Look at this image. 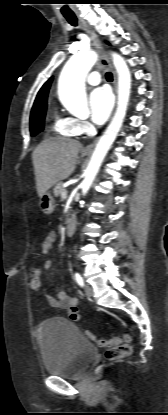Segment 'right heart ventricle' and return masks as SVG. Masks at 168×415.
I'll return each instance as SVG.
<instances>
[{"label":"right heart ventricle","instance_id":"right-heart-ventricle-1","mask_svg":"<svg viewBox=\"0 0 168 415\" xmlns=\"http://www.w3.org/2000/svg\"><path fill=\"white\" fill-rule=\"evenodd\" d=\"M76 122L77 120L73 117L56 113L54 116L53 131L59 136L76 137L79 135Z\"/></svg>","mask_w":168,"mask_h":415}]
</instances>
